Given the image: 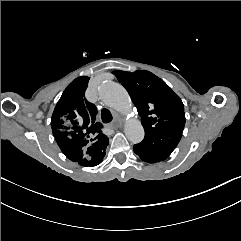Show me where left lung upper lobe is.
Returning <instances> with one entry per match:
<instances>
[{
    "instance_id": "obj_1",
    "label": "left lung upper lobe",
    "mask_w": 241,
    "mask_h": 241,
    "mask_svg": "<svg viewBox=\"0 0 241 241\" xmlns=\"http://www.w3.org/2000/svg\"><path fill=\"white\" fill-rule=\"evenodd\" d=\"M113 73L128 91L142 118L145 138L160 131L184 129L183 103L162 79L144 70L133 73L116 70Z\"/></svg>"
}]
</instances>
